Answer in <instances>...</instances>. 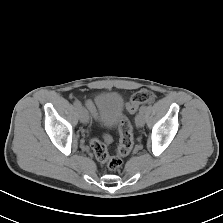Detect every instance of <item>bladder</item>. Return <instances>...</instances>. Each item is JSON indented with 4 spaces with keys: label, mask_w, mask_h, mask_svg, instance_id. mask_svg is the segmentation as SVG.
<instances>
[{
    "label": "bladder",
    "mask_w": 223,
    "mask_h": 223,
    "mask_svg": "<svg viewBox=\"0 0 223 223\" xmlns=\"http://www.w3.org/2000/svg\"><path fill=\"white\" fill-rule=\"evenodd\" d=\"M97 103L101 112V122L106 128L114 127L122 117L124 98L120 93H100Z\"/></svg>",
    "instance_id": "31cf9c89"
}]
</instances>
